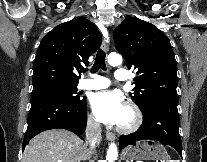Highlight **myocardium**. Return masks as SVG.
I'll return each instance as SVG.
<instances>
[{"mask_svg":"<svg viewBox=\"0 0 207 162\" xmlns=\"http://www.w3.org/2000/svg\"><path fill=\"white\" fill-rule=\"evenodd\" d=\"M126 107L131 113V120L128 124L126 125H118L117 126V131L122 134H130L137 129L140 128L143 122V115L139 107L133 103L129 102Z\"/></svg>","mask_w":207,"mask_h":162,"instance_id":"f54148a6","label":"myocardium"}]
</instances>
